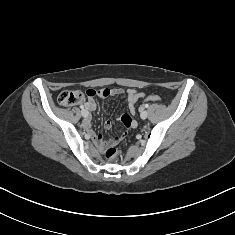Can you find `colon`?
Segmentation results:
<instances>
[{
	"instance_id": "1",
	"label": "colon",
	"mask_w": 235,
	"mask_h": 235,
	"mask_svg": "<svg viewBox=\"0 0 235 235\" xmlns=\"http://www.w3.org/2000/svg\"><path fill=\"white\" fill-rule=\"evenodd\" d=\"M107 93V89L96 90L88 89L85 94L78 90L64 91L58 96V103L62 106L68 107L80 103L84 96L95 97L96 95H104ZM145 101L158 103L161 101L160 96L155 94H150L144 97ZM122 124L126 129H129L133 125V120L129 114H123L120 118ZM117 137L110 138L104 143V156L108 161L114 160L118 155V149L116 147Z\"/></svg>"
}]
</instances>
